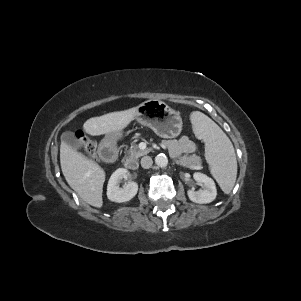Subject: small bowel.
Wrapping results in <instances>:
<instances>
[{
  "label": "small bowel",
  "mask_w": 301,
  "mask_h": 301,
  "mask_svg": "<svg viewBox=\"0 0 301 301\" xmlns=\"http://www.w3.org/2000/svg\"><path fill=\"white\" fill-rule=\"evenodd\" d=\"M165 144L171 155L182 163L185 161L181 158L182 155L192 154L196 151V144L186 135L180 136L178 140H167Z\"/></svg>",
  "instance_id": "small-bowel-1"
}]
</instances>
